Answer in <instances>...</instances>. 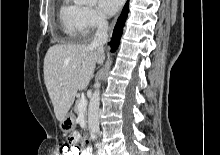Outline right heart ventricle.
<instances>
[{"instance_id":"obj_1","label":"right heart ventricle","mask_w":220,"mask_h":155,"mask_svg":"<svg viewBox=\"0 0 220 155\" xmlns=\"http://www.w3.org/2000/svg\"><path fill=\"white\" fill-rule=\"evenodd\" d=\"M83 7L74 0H62L59 7V20L62 31L72 40L83 36L82 15Z\"/></svg>"}]
</instances>
